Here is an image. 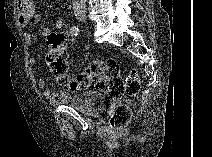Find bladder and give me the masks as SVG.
I'll list each match as a JSON object with an SVG mask.
<instances>
[{"instance_id":"obj_1","label":"bladder","mask_w":212,"mask_h":157,"mask_svg":"<svg viewBox=\"0 0 212 157\" xmlns=\"http://www.w3.org/2000/svg\"><path fill=\"white\" fill-rule=\"evenodd\" d=\"M105 103V93L87 89L82 92L72 94L67 104L75 110L89 115H95L104 109Z\"/></svg>"}]
</instances>
